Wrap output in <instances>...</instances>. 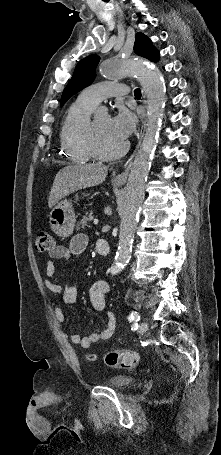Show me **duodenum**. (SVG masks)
<instances>
[{
    "label": "duodenum",
    "instance_id": "1",
    "mask_svg": "<svg viewBox=\"0 0 221 455\" xmlns=\"http://www.w3.org/2000/svg\"><path fill=\"white\" fill-rule=\"evenodd\" d=\"M96 250L100 255H108L110 251V246L106 240L99 239L96 242Z\"/></svg>",
    "mask_w": 221,
    "mask_h": 455
}]
</instances>
